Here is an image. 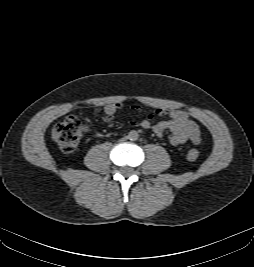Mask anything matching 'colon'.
Wrapping results in <instances>:
<instances>
[{"label": "colon", "mask_w": 254, "mask_h": 267, "mask_svg": "<svg viewBox=\"0 0 254 267\" xmlns=\"http://www.w3.org/2000/svg\"><path fill=\"white\" fill-rule=\"evenodd\" d=\"M83 125L75 117H68L65 120L56 123L52 128V138L65 153L73 152L81 139ZM199 157V151L192 148L187 153L190 161H195Z\"/></svg>", "instance_id": "obj_1"}]
</instances>
